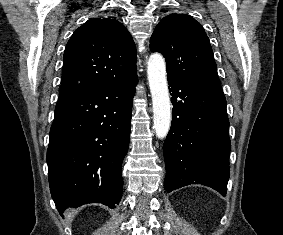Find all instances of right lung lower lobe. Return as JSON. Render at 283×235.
Returning a JSON list of instances; mask_svg holds the SVG:
<instances>
[{"mask_svg":"<svg viewBox=\"0 0 283 235\" xmlns=\"http://www.w3.org/2000/svg\"><path fill=\"white\" fill-rule=\"evenodd\" d=\"M137 74L59 99L47 151L49 184L60 214L68 207L119 204Z\"/></svg>","mask_w":283,"mask_h":235,"instance_id":"obj_1","label":"right lung lower lobe"}]
</instances>
